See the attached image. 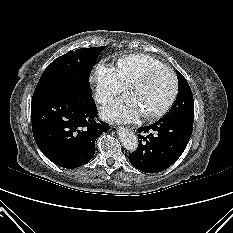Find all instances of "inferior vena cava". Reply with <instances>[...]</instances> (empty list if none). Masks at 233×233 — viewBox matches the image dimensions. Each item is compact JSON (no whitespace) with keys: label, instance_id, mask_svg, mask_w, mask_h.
<instances>
[{"label":"inferior vena cava","instance_id":"1","mask_svg":"<svg viewBox=\"0 0 233 233\" xmlns=\"http://www.w3.org/2000/svg\"><path fill=\"white\" fill-rule=\"evenodd\" d=\"M110 97H111L110 93H106V92L98 91L95 94V100L98 103H105V102H107L110 99Z\"/></svg>","mask_w":233,"mask_h":233}]
</instances>
